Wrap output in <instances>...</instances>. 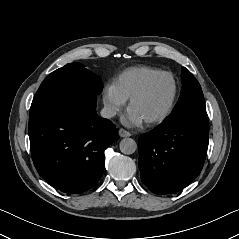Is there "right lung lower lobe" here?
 Wrapping results in <instances>:
<instances>
[{
  "label": "right lung lower lobe",
  "mask_w": 239,
  "mask_h": 239,
  "mask_svg": "<svg viewBox=\"0 0 239 239\" xmlns=\"http://www.w3.org/2000/svg\"><path fill=\"white\" fill-rule=\"evenodd\" d=\"M31 154L39 175L54 188L79 194L92 188L105 167V149L118 130L96 113V95L76 89L30 108Z\"/></svg>",
  "instance_id": "1"
}]
</instances>
